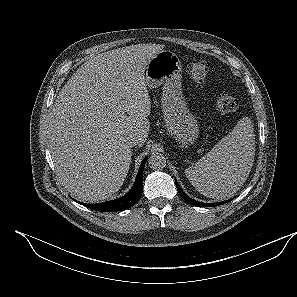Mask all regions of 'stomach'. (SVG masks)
Instances as JSON below:
<instances>
[{"label":"stomach","instance_id":"0dacf381","mask_svg":"<svg viewBox=\"0 0 297 297\" xmlns=\"http://www.w3.org/2000/svg\"><path fill=\"white\" fill-rule=\"evenodd\" d=\"M182 63L179 57L161 50L145 68V81L149 89L162 85V111L165 126L171 136L181 145H189L197 138V120L189 111L181 90Z\"/></svg>","mask_w":297,"mask_h":297}]
</instances>
